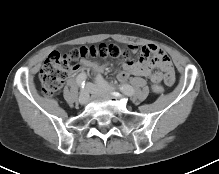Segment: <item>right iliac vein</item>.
I'll list each match as a JSON object with an SVG mask.
<instances>
[{"mask_svg": "<svg viewBox=\"0 0 219 174\" xmlns=\"http://www.w3.org/2000/svg\"><path fill=\"white\" fill-rule=\"evenodd\" d=\"M89 100V90L88 89H84L81 91L80 95H79V103L80 104H86Z\"/></svg>", "mask_w": 219, "mask_h": 174, "instance_id": "63e3f726", "label": "right iliac vein"}]
</instances>
